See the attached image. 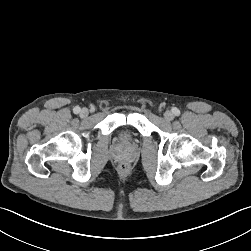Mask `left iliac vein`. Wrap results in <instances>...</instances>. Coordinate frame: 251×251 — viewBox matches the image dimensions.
Returning <instances> with one entry per match:
<instances>
[{"label": "left iliac vein", "mask_w": 251, "mask_h": 251, "mask_svg": "<svg viewBox=\"0 0 251 251\" xmlns=\"http://www.w3.org/2000/svg\"><path fill=\"white\" fill-rule=\"evenodd\" d=\"M164 118L167 120V121H171L173 120L174 118V114L171 112V111H166L164 113Z\"/></svg>", "instance_id": "1"}]
</instances>
